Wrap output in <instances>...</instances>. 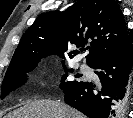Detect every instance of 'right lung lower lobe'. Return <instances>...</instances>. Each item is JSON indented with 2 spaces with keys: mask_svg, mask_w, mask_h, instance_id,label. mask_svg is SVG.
Wrapping results in <instances>:
<instances>
[{
  "mask_svg": "<svg viewBox=\"0 0 133 118\" xmlns=\"http://www.w3.org/2000/svg\"><path fill=\"white\" fill-rule=\"evenodd\" d=\"M130 39L101 54L89 66L96 69L100 83L80 82L64 89L65 102L90 118H122L132 76Z\"/></svg>",
  "mask_w": 133,
  "mask_h": 118,
  "instance_id": "1",
  "label": "right lung lower lobe"
}]
</instances>
